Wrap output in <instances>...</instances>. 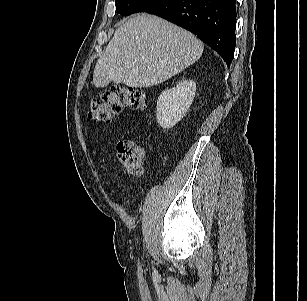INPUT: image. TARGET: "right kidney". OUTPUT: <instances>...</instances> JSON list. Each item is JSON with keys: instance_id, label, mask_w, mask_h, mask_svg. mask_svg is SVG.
<instances>
[{"instance_id": "obj_1", "label": "right kidney", "mask_w": 307, "mask_h": 301, "mask_svg": "<svg viewBox=\"0 0 307 301\" xmlns=\"http://www.w3.org/2000/svg\"><path fill=\"white\" fill-rule=\"evenodd\" d=\"M195 92L196 83L193 80H182L176 87L164 90L157 100L158 124L164 129L174 127L188 111Z\"/></svg>"}]
</instances>
